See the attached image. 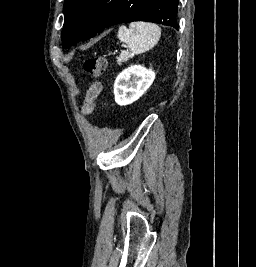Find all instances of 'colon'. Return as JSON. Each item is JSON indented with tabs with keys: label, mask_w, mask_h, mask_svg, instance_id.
<instances>
[{
	"label": "colon",
	"mask_w": 256,
	"mask_h": 267,
	"mask_svg": "<svg viewBox=\"0 0 256 267\" xmlns=\"http://www.w3.org/2000/svg\"><path fill=\"white\" fill-rule=\"evenodd\" d=\"M108 62L103 56H95L87 58L84 61V71L86 74L93 76L95 79L89 87L87 96L83 99L79 106V110L85 114L93 112L95 102L101 95L103 85L99 79L107 70Z\"/></svg>",
	"instance_id": "obj_1"
}]
</instances>
